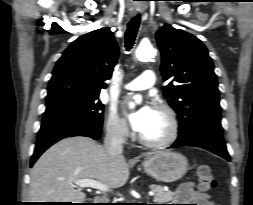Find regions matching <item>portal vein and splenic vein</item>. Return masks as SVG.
Instances as JSON below:
<instances>
[{
  "label": "portal vein and splenic vein",
  "mask_w": 253,
  "mask_h": 205,
  "mask_svg": "<svg viewBox=\"0 0 253 205\" xmlns=\"http://www.w3.org/2000/svg\"><path fill=\"white\" fill-rule=\"evenodd\" d=\"M73 182L79 188H86L87 187V188H93V189H96L99 191H109V188L105 184H103L97 180H94V179H81V180H75ZM148 194H149V196H153L154 192L149 191Z\"/></svg>",
  "instance_id": "portal-vein-and-splenic-vein-1"
}]
</instances>
